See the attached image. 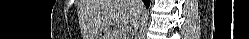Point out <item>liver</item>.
Instances as JSON below:
<instances>
[{
    "label": "liver",
    "mask_w": 249,
    "mask_h": 39,
    "mask_svg": "<svg viewBox=\"0 0 249 39\" xmlns=\"http://www.w3.org/2000/svg\"><path fill=\"white\" fill-rule=\"evenodd\" d=\"M78 8L84 37L97 39L113 24L132 25L143 4L133 0H80Z\"/></svg>",
    "instance_id": "6515ba94"
}]
</instances>
